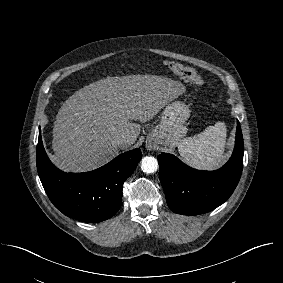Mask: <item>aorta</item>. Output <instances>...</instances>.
I'll list each match as a JSON object with an SVG mask.
<instances>
[{"label": "aorta", "mask_w": 283, "mask_h": 283, "mask_svg": "<svg viewBox=\"0 0 283 283\" xmlns=\"http://www.w3.org/2000/svg\"><path fill=\"white\" fill-rule=\"evenodd\" d=\"M158 169V161L152 156H146L141 160V170L144 173L150 174L156 172Z\"/></svg>", "instance_id": "aorta-1"}]
</instances>
